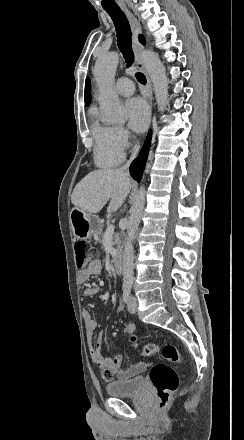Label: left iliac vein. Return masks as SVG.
I'll return each instance as SVG.
<instances>
[{"mask_svg": "<svg viewBox=\"0 0 244 440\" xmlns=\"http://www.w3.org/2000/svg\"><path fill=\"white\" fill-rule=\"evenodd\" d=\"M137 299L135 297H130L128 301V311L134 313L137 311Z\"/></svg>", "mask_w": 244, "mask_h": 440, "instance_id": "left-iliac-vein-1", "label": "left iliac vein"}]
</instances>
